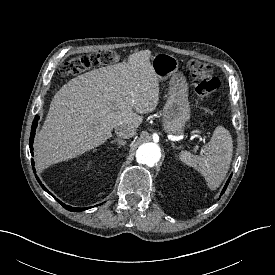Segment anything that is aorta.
Masks as SVG:
<instances>
[{"label": "aorta", "mask_w": 275, "mask_h": 275, "mask_svg": "<svg viewBox=\"0 0 275 275\" xmlns=\"http://www.w3.org/2000/svg\"><path fill=\"white\" fill-rule=\"evenodd\" d=\"M160 157V148L155 143H144L139 146L136 152L137 162L149 167L154 166L160 160Z\"/></svg>", "instance_id": "1"}]
</instances>
